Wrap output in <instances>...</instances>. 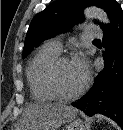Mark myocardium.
<instances>
[{
	"label": "myocardium",
	"instance_id": "myocardium-1",
	"mask_svg": "<svg viewBox=\"0 0 123 130\" xmlns=\"http://www.w3.org/2000/svg\"><path fill=\"white\" fill-rule=\"evenodd\" d=\"M68 60H69V58L67 56H58L52 62L50 69H49L50 87L58 99L65 100V101L76 99L77 97H79L80 95H82L84 93V91L87 89V87L89 85V78L86 77L82 86L74 92L68 93V92H65L61 88L59 80H58V68L62 62L68 61Z\"/></svg>",
	"mask_w": 123,
	"mask_h": 130
}]
</instances>
